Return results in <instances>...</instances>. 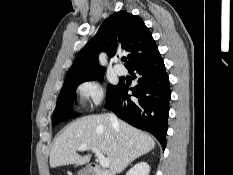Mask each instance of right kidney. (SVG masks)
I'll return each mask as SVG.
<instances>
[{"label": "right kidney", "instance_id": "obj_1", "mask_svg": "<svg viewBox=\"0 0 233 175\" xmlns=\"http://www.w3.org/2000/svg\"><path fill=\"white\" fill-rule=\"evenodd\" d=\"M150 166L146 162H139L126 175H149Z\"/></svg>", "mask_w": 233, "mask_h": 175}]
</instances>
